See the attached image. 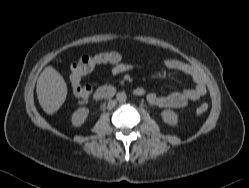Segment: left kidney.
Segmentation results:
<instances>
[{
  "label": "left kidney",
  "instance_id": "1",
  "mask_svg": "<svg viewBox=\"0 0 249 188\" xmlns=\"http://www.w3.org/2000/svg\"><path fill=\"white\" fill-rule=\"evenodd\" d=\"M161 116H162V119L163 121L168 124V125H171V126H175L177 125L178 123V116L177 114L172 111V110H164L162 113H161Z\"/></svg>",
  "mask_w": 249,
  "mask_h": 188
}]
</instances>
